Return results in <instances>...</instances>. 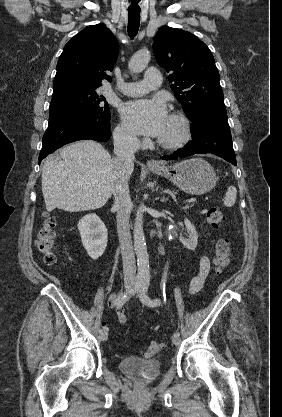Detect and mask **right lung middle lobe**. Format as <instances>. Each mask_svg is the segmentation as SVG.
Listing matches in <instances>:
<instances>
[{"label":"right lung middle lobe","instance_id":"right-lung-middle-lobe-1","mask_svg":"<svg viewBox=\"0 0 282 417\" xmlns=\"http://www.w3.org/2000/svg\"><path fill=\"white\" fill-rule=\"evenodd\" d=\"M97 87L76 88L55 92L49 109V120L70 112H84L97 117H108L110 111L104 96H99Z\"/></svg>","mask_w":282,"mask_h":417}]
</instances>
